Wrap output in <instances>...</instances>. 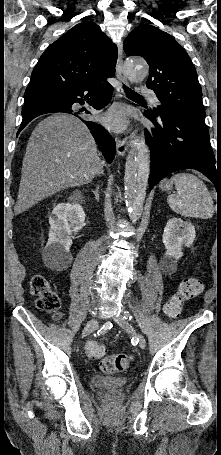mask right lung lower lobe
I'll return each mask as SVG.
<instances>
[{
	"label": "right lung lower lobe",
	"instance_id": "1",
	"mask_svg": "<svg viewBox=\"0 0 221 455\" xmlns=\"http://www.w3.org/2000/svg\"><path fill=\"white\" fill-rule=\"evenodd\" d=\"M113 87L104 77H95L79 82L55 97L37 100L25 104L22 108V123L18 133L35 117L46 113L63 112L80 118L89 128L93 137L100 146L102 153L108 163L114 159L116 152L115 141L108 131L101 125L85 121L80 116L82 110L73 108L74 103L84 104V100L93 108L100 110L111 100ZM85 113H89L85 111Z\"/></svg>",
	"mask_w": 221,
	"mask_h": 455
}]
</instances>
